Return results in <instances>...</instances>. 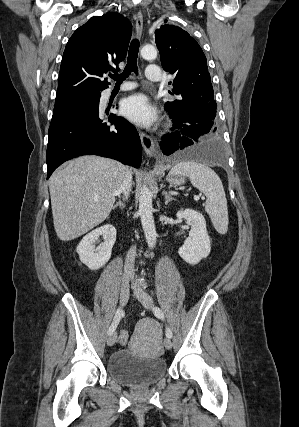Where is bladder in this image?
<instances>
[{"label": "bladder", "mask_w": 299, "mask_h": 427, "mask_svg": "<svg viewBox=\"0 0 299 427\" xmlns=\"http://www.w3.org/2000/svg\"><path fill=\"white\" fill-rule=\"evenodd\" d=\"M107 372L119 384L142 387L162 379L167 373V365L161 357H142L127 349H119L110 356Z\"/></svg>", "instance_id": "31cf9c89"}]
</instances>
